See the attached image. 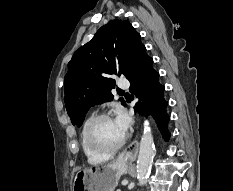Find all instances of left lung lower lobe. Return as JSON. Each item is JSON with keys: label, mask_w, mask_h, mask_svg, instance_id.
<instances>
[{"label": "left lung lower lobe", "mask_w": 233, "mask_h": 191, "mask_svg": "<svg viewBox=\"0 0 233 191\" xmlns=\"http://www.w3.org/2000/svg\"><path fill=\"white\" fill-rule=\"evenodd\" d=\"M153 59L147 56L140 63L128 80L131 83L130 92L134 93L140 100L142 106L140 112L144 115L151 114L157 122V126L166 141L169 140L168 122L170 120L163 98L164 86L158 82L159 73L153 67Z\"/></svg>", "instance_id": "0a47b994"}]
</instances>
